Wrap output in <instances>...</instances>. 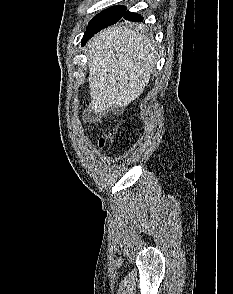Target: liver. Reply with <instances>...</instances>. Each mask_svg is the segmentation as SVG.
Instances as JSON below:
<instances>
[{"label":"liver","mask_w":233,"mask_h":294,"mask_svg":"<svg viewBox=\"0 0 233 294\" xmlns=\"http://www.w3.org/2000/svg\"><path fill=\"white\" fill-rule=\"evenodd\" d=\"M87 47L91 108L123 110L149 83L156 63L153 39L116 25L96 34Z\"/></svg>","instance_id":"6515ba94"}]
</instances>
